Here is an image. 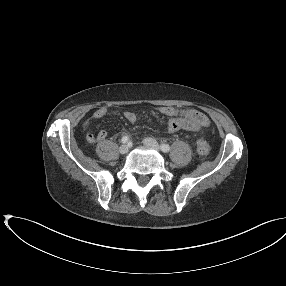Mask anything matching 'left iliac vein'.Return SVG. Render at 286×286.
<instances>
[{
  "mask_svg": "<svg viewBox=\"0 0 286 286\" xmlns=\"http://www.w3.org/2000/svg\"><path fill=\"white\" fill-rule=\"evenodd\" d=\"M144 144H145V146L150 147V148H153V149H155V150H159V149H160L159 144H158L157 141H156L155 139H153V138H146V139L144 140Z\"/></svg>",
  "mask_w": 286,
  "mask_h": 286,
  "instance_id": "4c4485c4",
  "label": "left iliac vein"
}]
</instances>
